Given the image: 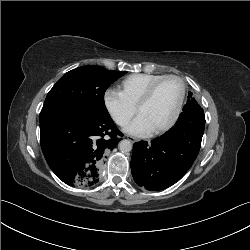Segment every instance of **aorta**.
<instances>
[{
    "label": "aorta",
    "instance_id": "aorta-1",
    "mask_svg": "<svg viewBox=\"0 0 250 250\" xmlns=\"http://www.w3.org/2000/svg\"><path fill=\"white\" fill-rule=\"evenodd\" d=\"M119 149L121 152H130L132 150V143L127 139L121 140L119 142Z\"/></svg>",
    "mask_w": 250,
    "mask_h": 250
}]
</instances>
